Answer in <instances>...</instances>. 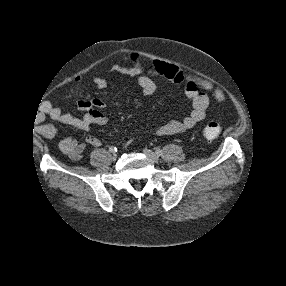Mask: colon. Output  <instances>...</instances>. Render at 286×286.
Instances as JSON below:
<instances>
[{
  "label": "colon",
  "mask_w": 286,
  "mask_h": 286,
  "mask_svg": "<svg viewBox=\"0 0 286 286\" xmlns=\"http://www.w3.org/2000/svg\"><path fill=\"white\" fill-rule=\"evenodd\" d=\"M129 61L132 65V68L138 73L147 72L151 75H166V67L162 63H146L138 55H131L129 57ZM200 85L205 88H208V86L204 83H200ZM221 131L222 127L218 122H210L204 127L202 135L204 138L211 140L217 138L220 135Z\"/></svg>",
  "instance_id": "1"
}]
</instances>
